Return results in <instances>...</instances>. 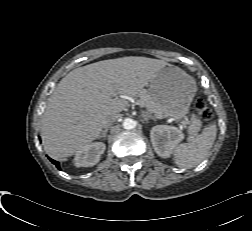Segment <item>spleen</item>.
I'll return each instance as SVG.
<instances>
[{
	"instance_id": "obj_1",
	"label": "spleen",
	"mask_w": 252,
	"mask_h": 231,
	"mask_svg": "<svg viewBox=\"0 0 252 231\" xmlns=\"http://www.w3.org/2000/svg\"><path fill=\"white\" fill-rule=\"evenodd\" d=\"M217 135L216 125L209 124L197 137L177 145L173 159L179 168H193L201 163L212 148Z\"/></svg>"
}]
</instances>
